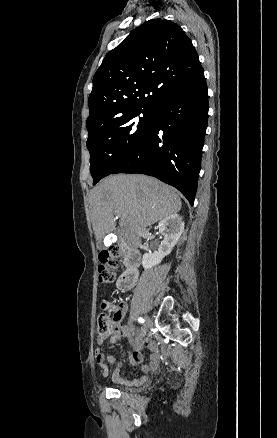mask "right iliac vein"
I'll use <instances>...</instances> for the list:
<instances>
[{
    "label": "right iliac vein",
    "instance_id": "63e3f726",
    "mask_svg": "<svg viewBox=\"0 0 277 438\" xmlns=\"http://www.w3.org/2000/svg\"><path fill=\"white\" fill-rule=\"evenodd\" d=\"M150 324H151L150 318L148 316H145V320H144L143 326L141 328V331H140L139 335L135 339V342H139V341H141L145 337V335L147 334V331H148V328H149Z\"/></svg>",
    "mask_w": 277,
    "mask_h": 438
}]
</instances>
